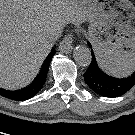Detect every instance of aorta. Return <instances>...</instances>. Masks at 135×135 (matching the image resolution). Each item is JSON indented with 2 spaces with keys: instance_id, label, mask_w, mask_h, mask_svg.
Instances as JSON below:
<instances>
[{
  "instance_id": "1",
  "label": "aorta",
  "mask_w": 135,
  "mask_h": 135,
  "mask_svg": "<svg viewBox=\"0 0 135 135\" xmlns=\"http://www.w3.org/2000/svg\"><path fill=\"white\" fill-rule=\"evenodd\" d=\"M73 57L80 66H88L92 60L90 49L83 45L75 47Z\"/></svg>"
}]
</instances>
